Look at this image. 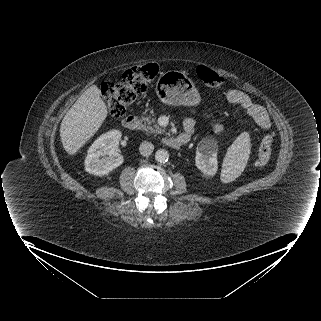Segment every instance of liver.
I'll use <instances>...</instances> for the list:
<instances>
[{
    "label": "liver",
    "mask_w": 321,
    "mask_h": 321,
    "mask_svg": "<svg viewBox=\"0 0 321 321\" xmlns=\"http://www.w3.org/2000/svg\"><path fill=\"white\" fill-rule=\"evenodd\" d=\"M108 110L96 85L90 86L64 116L60 137L65 151L73 156L97 132Z\"/></svg>",
    "instance_id": "obj_1"
}]
</instances>
